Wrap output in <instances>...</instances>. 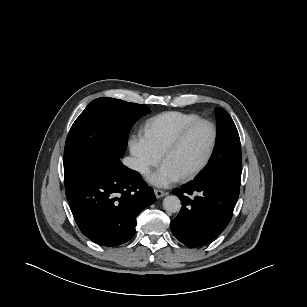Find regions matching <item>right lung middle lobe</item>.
Returning a JSON list of instances; mask_svg holds the SVG:
<instances>
[{"mask_svg": "<svg viewBox=\"0 0 307 307\" xmlns=\"http://www.w3.org/2000/svg\"><path fill=\"white\" fill-rule=\"evenodd\" d=\"M145 105L101 97L93 100L73 123L64 149L65 189L70 190L120 159L128 135Z\"/></svg>", "mask_w": 307, "mask_h": 307, "instance_id": "1", "label": "right lung middle lobe"}]
</instances>
